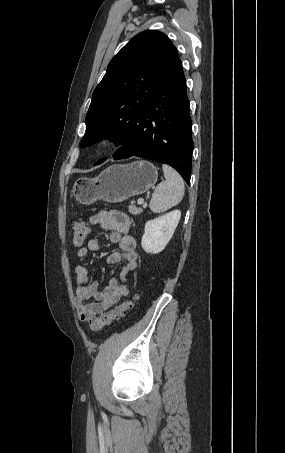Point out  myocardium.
Here are the masks:
<instances>
[{
	"mask_svg": "<svg viewBox=\"0 0 285 453\" xmlns=\"http://www.w3.org/2000/svg\"><path fill=\"white\" fill-rule=\"evenodd\" d=\"M116 144V138L112 134H106L100 137L97 142L96 146L100 150H108Z\"/></svg>",
	"mask_w": 285,
	"mask_h": 453,
	"instance_id": "1",
	"label": "myocardium"
}]
</instances>
